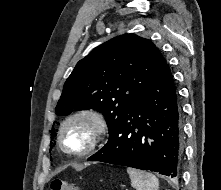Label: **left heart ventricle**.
Instances as JSON below:
<instances>
[{
  "instance_id": "1",
  "label": "left heart ventricle",
  "mask_w": 221,
  "mask_h": 190,
  "mask_svg": "<svg viewBox=\"0 0 221 190\" xmlns=\"http://www.w3.org/2000/svg\"><path fill=\"white\" fill-rule=\"evenodd\" d=\"M92 135V123L87 119L79 118L67 125L63 138L67 147L81 150L89 145Z\"/></svg>"
}]
</instances>
